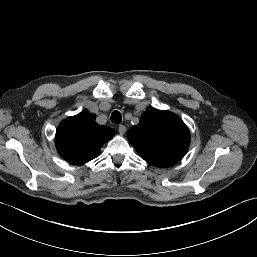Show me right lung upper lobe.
Masks as SVG:
<instances>
[{"label": "right lung upper lobe", "instance_id": "1", "mask_svg": "<svg viewBox=\"0 0 257 257\" xmlns=\"http://www.w3.org/2000/svg\"><path fill=\"white\" fill-rule=\"evenodd\" d=\"M87 110L62 121L57 129L55 142L58 153L74 165H81L96 158L105 142L116 131L95 121Z\"/></svg>", "mask_w": 257, "mask_h": 257}]
</instances>
